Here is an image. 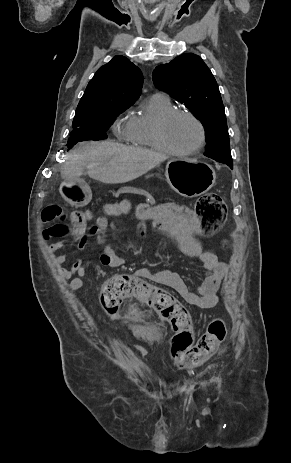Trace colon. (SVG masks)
I'll list each match as a JSON object with an SVG mask.
<instances>
[{"label": "colon", "mask_w": 291, "mask_h": 463, "mask_svg": "<svg viewBox=\"0 0 291 463\" xmlns=\"http://www.w3.org/2000/svg\"><path fill=\"white\" fill-rule=\"evenodd\" d=\"M137 212L144 219L155 216L156 226H189L195 231L210 234L224 222L226 206L220 195L212 192L201 196L195 208L174 201L155 202L153 205L138 206ZM122 214L127 216L129 211L124 209ZM110 215L117 217L119 210L112 208ZM41 219L44 223H51L43 231V238L47 242H54L57 238L78 237L86 232L90 214L87 211L66 212L61 205L50 204L43 209ZM127 298L138 300L170 320L175 331L170 354L180 368L200 366L215 353L225 338L224 323L215 319L194 344L190 314L167 291L128 274L116 275L106 280L100 292V300L108 314H116L121 302Z\"/></svg>", "instance_id": "1"}]
</instances>
